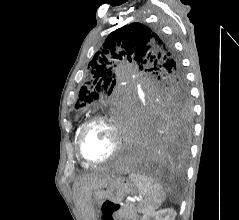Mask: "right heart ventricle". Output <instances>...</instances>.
<instances>
[{"label":"right heart ventricle","instance_id":"right-heart-ventricle-1","mask_svg":"<svg viewBox=\"0 0 239 220\" xmlns=\"http://www.w3.org/2000/svg\"><path fill=\"white\" fill-rule=\"evenodd\" d=\"M81 128H82V125H80L76 130V133H75V142L76 143H77L78 134H79ZM82 165L85 166V167L88 166V164H86L85 162H82Z\"/></svg>","mask_w":239,"mask_h":220}]
</instances>
